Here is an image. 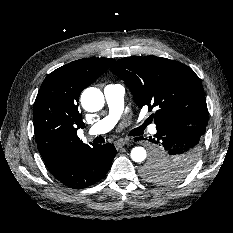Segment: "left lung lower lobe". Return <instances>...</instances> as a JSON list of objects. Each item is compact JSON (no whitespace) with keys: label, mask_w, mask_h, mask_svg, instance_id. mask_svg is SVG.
<instances>
[{"label":"left lung lower lobe","mask_w":233,"mask_h":233,"mask_svg":"<svg viewBox=\"0 0 233 233\" xmlns=\"http://www.w3.org/2000/svg\"><path fill=\"white\" fill-rule=\"evenodd\" d=\"M205 128L178 126L169 129H157L150 141L155 144L152 160L162 162V166L184 168L195 165L200 152ZM142 138V137H141Z\"/></svg>","instance_id":"obj_1"}]
</instances>
